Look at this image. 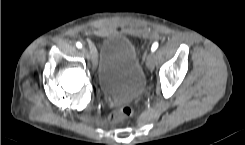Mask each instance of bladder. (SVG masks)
I'll use <instances>...</instances> for the list:
<instances>
[{
  "instance_id": "obj_1",
  "label": "bladder",
  "mask_w": 245,
  "mask_h": 145,
  "mask_svg": "<svg viewBox=\"0 0 245 145\" xmlns=\"http://www.w3.org/2000/svg\"><path fill=\"white\" fill-rule=\"evenodd\" d=\"M97 79L103 94L117 100L138 97L144 88V72L129 37L111 33L98 54Z\"/></svg>"
}]
</instances>
